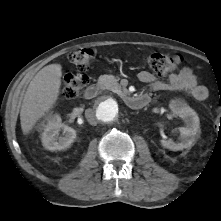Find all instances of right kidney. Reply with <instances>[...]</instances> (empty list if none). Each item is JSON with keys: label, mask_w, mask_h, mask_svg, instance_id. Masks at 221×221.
<instances>
[{"label": "right kidney", "mask_w": 221, "mask_h": 221, "mask_svg": "<svg viewBox=\"0 0 221 221\" xmlns=\"http://www.w3.org/2000/svg\"><path fill=\"white\" fill-rule=\"evenodd\" d=\"M60 131L63 132L62 136H59ZM75 138L76 131L63 124L58 114L47 118V124L43 126L41 135L42 144L45 149L50 151L65 149L74 142Z\"/></svg>", "instance_id": "1"}]
</instances>
